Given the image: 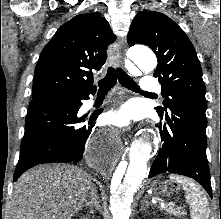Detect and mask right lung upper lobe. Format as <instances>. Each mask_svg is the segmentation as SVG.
I'll return each mask as SVG.
<instances>
[{
  "label": "right lung upper lobe",
  "instance_id": "obj_1",
  "mask_svg": "<svg viewBox=\"0 0 221 219\" xmlns=\"http://www.w3.org/2000/svg\"><path fill=\"white\" fill-rule=\"evenodd\" d=\"M116 36L104 17L79 14L62 25L44 47L35 68L33 99L96 90L92 70L105 63Z\"/></svg>",
  "mask_w": 221,
  "mask_h": 219
}]
</instances>
